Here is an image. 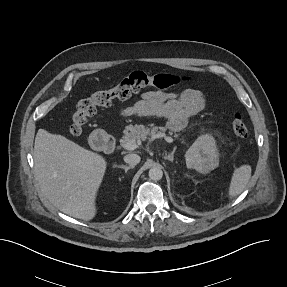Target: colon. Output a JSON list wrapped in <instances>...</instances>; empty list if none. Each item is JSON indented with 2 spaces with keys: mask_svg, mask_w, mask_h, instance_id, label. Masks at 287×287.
<instances>
[{
  "mask_svg": "<svg viewBox=\"0 0 287 287\" xmlns=\"http://www.w3.org/2000/svg\"><path fill=\"white\" fill-rule=\"evenodd\" d=\"M189 81L190 78L188 76L149 73L141 70L133 71L112 89L97 91L90 97L80 100L71 115L70 132L75 136L80 135L88 119L95 114L97 107L109 106L115 99H128L132 94L147 86L165 90ZM232 129L241 138L248 136V128L240 113L233 115Z\"/></svg>",
  "mask_w": 287,
  "mask_h": 287,
  "instance_id": "obj_1",
  "label": "colon"
}]
</instances>
